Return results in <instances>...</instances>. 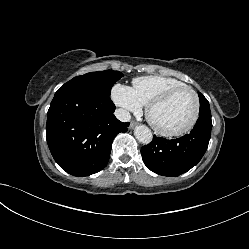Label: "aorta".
<instances>
[{
    "label": "aorta",
    "instance_id": "aorta-1",
    "mask_svg": "<svg viewBox=\"0 0 249 249\" xmlns=\"http://www.w3.org/2000/svg\"><path fill=\"white\" fill-rule=\"evenodd\" d=\"M134 135L143 144H149L153 138L151 130L145 125L137 126L134 130Z\"/></svg>",
    "mask_w": 249,
    "mask_h": 249
}]
</instances>
